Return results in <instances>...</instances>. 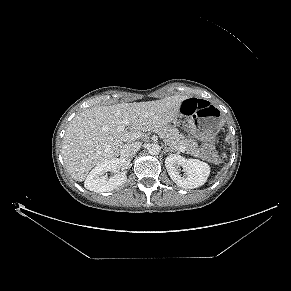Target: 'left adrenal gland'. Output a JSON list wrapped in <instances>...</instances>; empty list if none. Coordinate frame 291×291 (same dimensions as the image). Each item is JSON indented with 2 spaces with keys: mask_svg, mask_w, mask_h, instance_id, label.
I'll return each mask as SVG.
<instances>
[{
  "mask_svg": "<svg viewBox=\"0 0 291 291\" xmlns=\"http://www.w3.org/2000/svg\"><path fill=\"white\" fill-rule=\"evenodd\" d=\"M164 150H165V152H174V150H173V149H171V148L167 147L166 145H165V148H164Z\"/></svg>",
  "mask_w": 291,
  "mask_h": 291,
  "instance_id": "obj_1",
  "label": "left adrenal gland"
}]
</instances>
